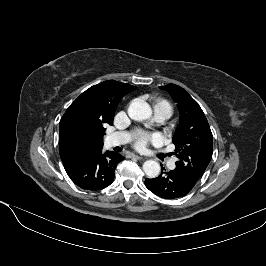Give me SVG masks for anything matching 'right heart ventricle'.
Wrapping results in <instances>:
<instances>
[{"instance_id": "1", "label": "right heart ventricle", "mask_w": 266, "mask_h": 266, "mask_svg": "<svg viewBox=\"0 0 266 266\" xmlns=\"http://www.w3.org/2000/svg\"><path fill=\"white\" fill-rule=\"evenodd\" d=\"M156 109L165 111L166 113H168L169 116L172 114L173 111L172 105L168 101L162 99H158L155 101L154 110Z\"/></svg>"}]
</instances>
